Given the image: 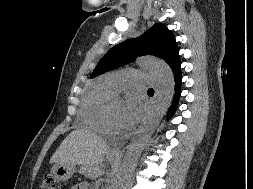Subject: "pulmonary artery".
<instances>
[{
    "mask_svg": "<svg viewBox=\"0 0 253 189\" xmlns=\"http://www.w3.org/2000/svg\"><path fill=\"white\" fill-rule=\"evenodd\" d=\"M107 84L113 91H119L127 86H149L153 84V77L148 74L125 72L108 78Z\"/></svg>",
    "mask_w": 253,
    "mask_h": 189,
    "instance_id": "e3ab8cb5",
    "label": "pulmonary artery"
}]
</instances>
